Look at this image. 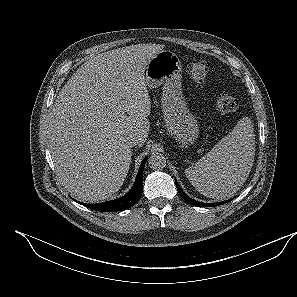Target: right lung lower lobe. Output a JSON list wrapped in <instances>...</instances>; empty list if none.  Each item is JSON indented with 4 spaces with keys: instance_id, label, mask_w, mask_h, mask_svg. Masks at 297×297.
<instances>
[{
    "instance_id": "right-lung-lower-lobe-1",
    "label": "right lung lower lobe",
    "mask_w": 297,
    "mask_h": 297,
    "mask_svg": "<svg viewBox=\"0 0 297 297\" xmlns=\"http://www.w3.org/2000/svg\"><path fill=\"white\" fill-rule=\"evenodd\" d=\"M147 159H148L147 157L143 159L135 180V184L125 196L116 200L98 203V204H86L78 201L77 202L90 209L101 211V212L122 211L134 206L139 201L143 192V169Z\"/></svg>"
}]
</instances>
